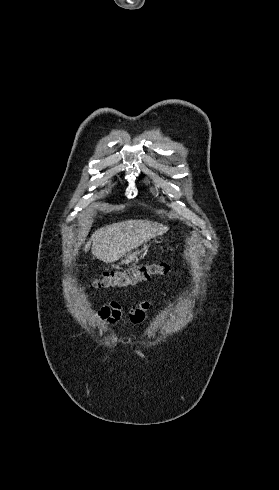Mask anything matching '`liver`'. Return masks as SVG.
Masks as SVG:
<instances>
[{
	"label": "liver",
	"instance_id": "liver-1",
	"mask_svg": "<svg viewBox=\"0 0 279 490\" xmlns=\"http://www.w3.org/2000/svg\"><path fill=\"white\" fill-rule=\"evenodd\" d=\"M167 230L166 226L149 220H126V222L110 224L92 234L89 242L84 246V252H88L91 248L97 260L105 264H114L127 252L146 244L151 238L162 236Z\"/></svg>",
	"mask_w": 279,
	"mask_h": 490
}]
</instances>
